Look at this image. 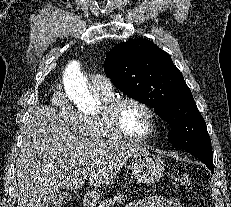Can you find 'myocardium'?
Segmentation results:
<instances>
[{
    "label": "myocardium",
    "instance_id": "obj_1",
    "mask_svg": "<svg viewBox=\"0 0 231 207\" xmlns=\"http://www.w3.org/2000/svg\"><path fill=\"white\" fill-rule=\"evenodd\" d=\"M126 103L137 104L146 111L150 121V128L147 134L140 137H133L125 132L119 120V112L121 107ZM103 118L107 129L114 137L130 143H142L148 141L156 134L157 131V115L154 109L145 101L132 96L114 98L104 107Z\"/></svg>",
    "mask_w": 231,
    "mask_h": 207
}]
</instances>
